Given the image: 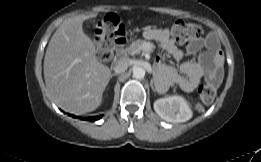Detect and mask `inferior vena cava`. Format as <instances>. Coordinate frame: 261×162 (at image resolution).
Listing matches in <instances>:
<instances>
[{
    "label": "inferior vena cava",
    "mask_w": 261,
    "mask_h": 162,
    "mask_svg": "<svg viewBox=\"0 0 261 162\" xmlns=\"http://www.w3.org/2000/svg\"><path fill=\"white\" fill-rule=\"evenodd\" d=\"M129 65L130 61L126 58H122L115 63L113 70L115 73L119 74L124 72L129 67Z\"/></svg>",
    "instance_id": "602c4592"
}]
</instances>
